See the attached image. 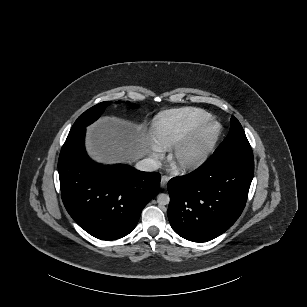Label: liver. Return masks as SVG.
Instances as JSON below:
<instances>
[{"mask_svg":"<svg viewBox=\"0 0 307 307\" xmlns=\"http://www.w3.org/2000/svg\"><path fill=\"white\" fill-rule=\"evenodd\" d=\"M86 149L105 164H131L151 153L146 125L115 116H103L87 128Z\"/></svg>","mask_w":307,"mask_h":307,"instance_id":"6515ba94","label":"liver"}]
</instances>
